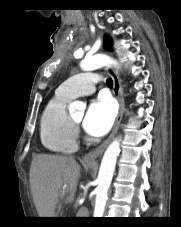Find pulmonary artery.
<instances>
[{
    "instance_id": "e3ab8cb5",
    "label": "pulmonary artery",
    "mask_w": 181,
    "mask_h": 227,
    "mask_svg": "<svg viewBox=\"0 0 181 227\" xmlns=\"http://www.w3.org/2000/svg\"><path fill=\"white\" fill-rule=\"evenodd\" d=\"M99 81L96 73H81L64 81L57 92L70 99L87 96L95 91V85Z\"/></svg>"
}]
</instances>
